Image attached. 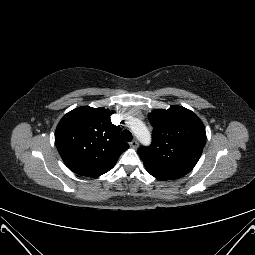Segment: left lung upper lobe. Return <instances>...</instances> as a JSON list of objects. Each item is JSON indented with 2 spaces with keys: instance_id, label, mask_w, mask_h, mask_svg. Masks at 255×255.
<instances>
[{
  "instance_id": "1",
  "label": "left lung upper lobe",
  "mask_w": 255,
  "mask_h": 255,
  "mask_svg": "<svg viewBox=\"0 0 255 255\" xmlns=\"http://www.w3.org/2000/svg\"><path fill=\"white\" fill-rule=\"evenodd\" d=\"M152 143L138 154L148 173L159 180H174L189 173L198 162L206 132L198 116L182 106L155 110L149 115Z\"/></svg>"
}]
</instances>
